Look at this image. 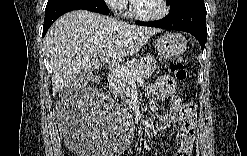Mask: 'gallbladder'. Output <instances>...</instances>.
<instances>
[{"mask_svg": "<svg viewBox=\"0 0 247 156\" xmlns=\"http://www.w3.org/2000/svg\"><path fill=\"white\" fill-rule=\"evenodd\" d=\"M92 76V74H88L86 76L82 75V76H78L75 81L69 83L63 90L62 94L65 95H69L72 92H74L79 86L86 84L90 77Z\"/></svg>", "mask_w": 247, "mask_h": 156, "instance_id": "1", "label": "gallbladder"}]
</instances>
